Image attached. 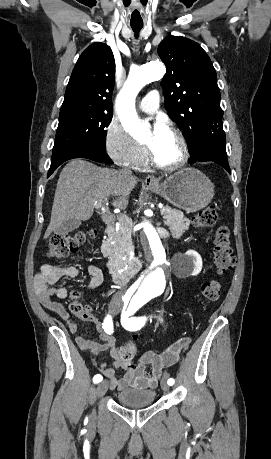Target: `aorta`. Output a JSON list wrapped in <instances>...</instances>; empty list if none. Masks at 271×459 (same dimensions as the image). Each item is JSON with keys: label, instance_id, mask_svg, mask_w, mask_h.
<instances>
[{"label": "aorta", "instance_id": "1", "mask_svg": "<svg viewBox=\"0 0 271 459\" xmlns=\"http://www.w3.org/2000/svg\"><path fill=\"white\" fill-rule=\"evenodd\" d=\"M165 74V67L160 62H149L140 68L133 69L117 96L116 110L124 129L135 139L146 137L148 126L140 121L135 109V99L139 91L153 81L160 80ZM147 200L140 196L136 201V212L144 211L143 221L139 227L140 241L143 247L146 268L134 284V289L143 291L150 297L161 295L166 287L169 274V262L164 243L161 241L150 218L153 213L146 208Z\"/></svg>", "mask_w": 271, "mask_h": 459}]
</instances>
